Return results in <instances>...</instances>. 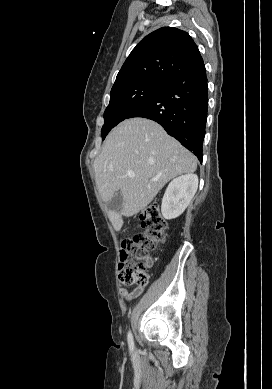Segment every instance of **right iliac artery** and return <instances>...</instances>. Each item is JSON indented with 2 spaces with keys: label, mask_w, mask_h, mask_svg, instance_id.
Listing matches in <instances>:
<instances>
[{
  "label": "right iliac artery",
  "mask_w": 272,
  "mask_h": 389,
  "mask_svg": "<svg viewBox=\"0 0 272 389\" xmlns=\"http://www.w3.org/2000/svg\"><path fill=\"white\" fill-rule=\"evenodd\" d=\"M127 339H128L129 349H130V351H133L134 350V341H133V335L130 331L128 332Z\"/></svg>",
  "instance_id": "obj_1"
}]
</instances>
